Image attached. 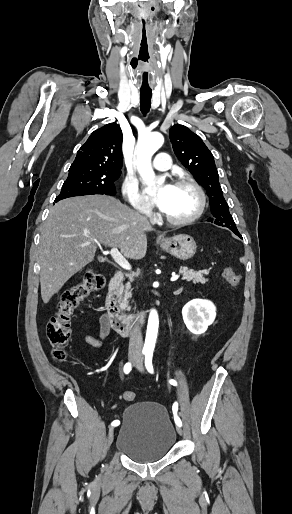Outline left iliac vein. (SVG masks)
Here are the masks:
<instances>
[{
    "mask_svg": "<svg viewBox=\"0 0 292 514\" xmlns=\"http://www.w3.org/2000/svg\"><path fill=\"white\" fill-rule=\"evenodd\" d=\"M135 367L140 371V372H143L144 371V368H143V361L142 359H138L137 362L135 363ZM176 431L179 435H183V429L180 427V426H177L176 427Z\"/></svg>",
    "mask_w": 292,
    "mask_h": 514,
    "instance_id": "left-iliac-vein-1",
    "label": "left iliac vein"
}]
</instances>
